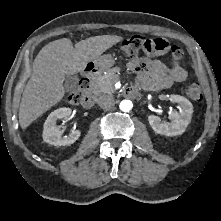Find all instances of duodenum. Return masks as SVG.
<instances>
[{
	"label": "duodenum",
	"mask_w": 221,
	"mask_h": 221,
	"mask_svg": "<svg viewBox=\"0 0 221 221\" xmlns=\"http://www.w3.org/2000/svg\"><path fill=\"white\" fill-rule=\"evenodd\" d=\"M96 74H97L96 66L90 63L85 68L83 80L90 86ZM137 93H138V89L134 86H131L125 90V95L128 97H135ZM93 104H94V97L92 96V94L90 93L88 89V91L85 94L83 105L89 108Z\"/></svg>",
	"instance_id": "obj_1"
}]
</instances>
